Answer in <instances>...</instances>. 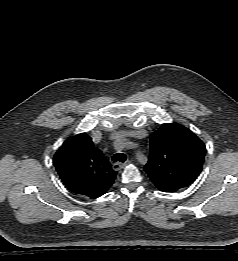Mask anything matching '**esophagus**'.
<instances>
[{
    "mask_svg": "<svg viewBox=\"0 0 238 261\" xmlns=\"http://www.w3.org/2000/svg\"><path fill=\"white\" fill-rule=\"evenodd\" d=\"M129 163H130L129 160L125 161L124 163L115 162V163L112 165V168H113V170H115V171H119V170H121L122 168H124L127 164H129Z\"/></svg>",
    "mask_w": 238,
    "mask_h": 261,
    "instance_id": "obj_1",
    "label": "esophagus"
}]
</instances>
